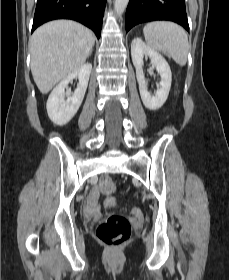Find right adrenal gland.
<instances>
[{
	"mask_svg": "<svg viewBox=\"0 0 229 280\" xmlns=\"http://www.w3.org/2000/svg\"><path fill=\"white\" fill-rule=\"evenodd\" d=\"M92 50H93V49H91V51H90V53H89V56H91V54H92Z\"/></svg>",
	"mask_w": 229,
	"mask_h": 280,
	"instance_id": "2a0ac1e0",
	"label": "right adrenal gland"
}]
</instances>
